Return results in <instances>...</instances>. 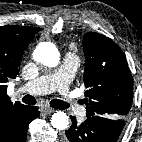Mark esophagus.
I'll use <instances>...</instances> for the list:
<instances>
[{
  "label": "esophagus",
  "mask_w": 142,
  "mask_h": 142,
  "mask_svg": "<svg viewBox=\"0 0 142 142\" xmlns=\"http://www.w3.org/2000/svg\"><path fill=\"white\" fill-rule=\"evenodd\" d=\"M54 111L55 110L53 108H50V107H47V106L42 108V112L45 113V114H50V113H52Z\"/></svg>",
  "instance_id": "esophagus-1"
}]
</instances>
